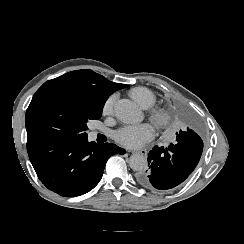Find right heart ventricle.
Masks as SVG:
<instances>
[{
    "instance_id": "e07e8e85",
    "label": "right heart ventricle",
    "mask_w": 244,
    "mask_h": 244,
    "mask_svg": "<svg viewBox=\"0 0 244 244\" xmlns=\"http://www.w3.org/2000/svg\"><path fill=\"white\" fill-rule=\"evenodd\" d=\"M129 97L142 109H149L155 105L154 93L145 87H136L128 91Z\"/></svg>"
}]
</instances>
